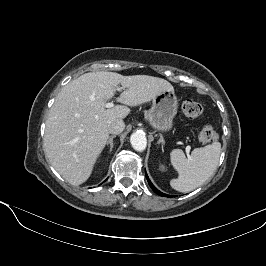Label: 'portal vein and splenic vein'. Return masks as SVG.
<instances>
[{
    "label": "portal vein and splenic vein",
    "instance_id": "1",
    "mask_svg": "<svg viewBox=\"0 0 266 266\" xmlns=\"http://www.w3.org/2000/svg\"><path fill=\"white\" fill-rule=\"evenodd\" d=\"M117 90H118V91H121L122 88H119V87H118ZM113 106H114L113 103H106V104H105V107H106V108H111V107H113ZM189 151H190V148L187 147V152L189 153Z\"/></svg>",
    "mask_w": 266,
    "mask_h": 266
}]
</instances>
